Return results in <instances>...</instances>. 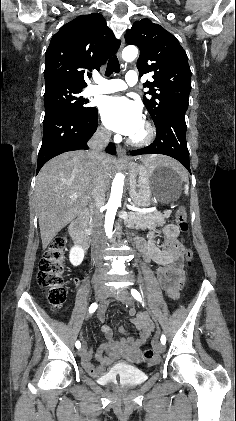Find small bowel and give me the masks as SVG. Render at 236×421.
I'll return each mask as SVG.
<instances>
[{"mask_svg": "<svg viewBox=\"0 0 236 421\" xmlns=\"http://www.w3.org/2000/svg\"><path fill=\"white\" fill-rule=\"evenodd\" d=\"M164 235L167 237V239L170 242H172V243H174L176 245L178 251H183V246L178 241V239L180 237V230H179V228L175 224H168L167 226H165V228H164ZM153 236H154V231L151 230L149 232V238L152 239ZM75 283H76V281H75ZM100 316L102 317L103 315L101 314ZM140 321L142 322V325H143L142 328H141L142 341L140 342V344L138 346H140L149 337V335H150V333L152 331V324H151V322L144 315L142 316V318H141ZM88 353H90V352H88ZM101 354H102L101 351H99L97 353V358Z\"/></svg>", "mask_w": 236, "mask_h": 421, "instance_id": "small-bowel-1", "label": "small bowel"}]
</instances>
